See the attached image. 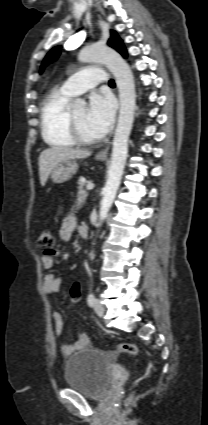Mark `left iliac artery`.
Segmentation results:
<instances>
[{
  "label": "left iliac artery",
  "mask_w": 208,
  "mask_h": 425,
  "mask_svg": "<svg viewBox=\"0 0 208 425\" xmlns=\"http://www.w3.org/2000/svg\"><path fill=\"white\" fill-rule=\"evenodd\" d=\"M87 302H88V305L90 307H92L94 305V302H95L94 294L91 293V294L88 295Z\"/></svg>",
  "instance_id": "obj_1"
}]
</instances>
